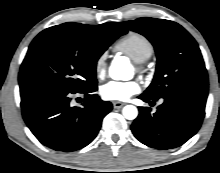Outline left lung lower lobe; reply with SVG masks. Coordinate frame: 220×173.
Masks as SVG:
<instances>
[{
  "mask_svg": "<svg viewBox=\"0 0 220 173\" xmlns=\"http://www.w3.org/2000/svg\"><path fill=\"white\" fill-rule=\"evenodd\" d=\"M138 98L150 103L158 100L144 94ZM162 99L163 104L154 114L149 107L139 108L131 130L143 144L167 150L181 146L199 130L207 96L176 93Z\"/></svg>",
  "mask_w": 220,
  "mask_h": 173,
  "instance_id": "obj_1",
  "label": "left lung lower lobe"
}]
</instances>
